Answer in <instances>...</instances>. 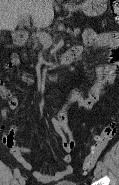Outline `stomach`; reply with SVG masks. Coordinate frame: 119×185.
<instances>
[{
    "label": "stomach",
    "mask_w": 119,
    "mask_h": 185,
    "mask_svg": "<svg viewBox=\"0 0 119 185\" xmlns=\"http://www.w3.org/2000/svg\"><path fill=\"white\" fill-rule=\"evenodd\" d=\"M80 8L86 16H99L105 12L107 8V0H85Z\"/></svg>",
    "instance_id": "0dacf381"
}]
</instances>
